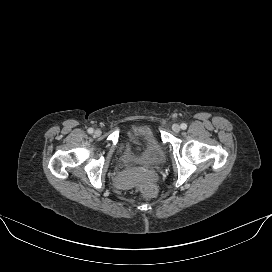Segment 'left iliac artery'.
I'll use <instances>...</instances> for the list:
<instances>
[{
	"label": "left iliac artery",
	"mask_w": 272,
	"mask_h": 272,
	"mask_svg": "<svg viewBox=\"0 0 272 272\" xmlns=\"http://www.w3.org/2000/svg\"><path fill=\"white\" fill-rule=\"evenodd\" d=\"M186 128H187V124L182 123V124H181V129L185 130Z\"/></svg>",
	"instance_id": "obj_1"
}]
</instances>
